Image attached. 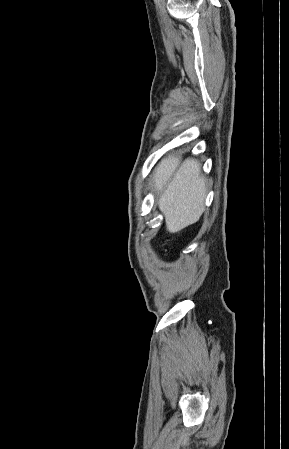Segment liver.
Here are the masks:
<instances>
[{
	"label": "liver",
	"instance_id": "1",
	"mask_svg": "<svg viewBox=\"0 0 289 449\" xmlns=\"http://www.w3.org/2000/svg\"><path fill=\"white\" fill-rule=\"evenodd\" d=\"M180 162V157L173 155L163 159L156 167L152 181L169 233L196 223L205 210L206 185L200 175V164L189 159L179 167Z\"/></svg>",
	"mask_w": 289,
	"mask_h": 449
}]
</instances>
